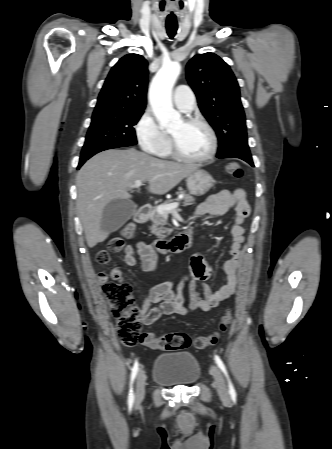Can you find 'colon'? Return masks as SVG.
Returning a JSON list of instances; mask_svg holds the SVG:
<instances>
[{
  "mask_svg": "<svg viewBox=\"0 0 332 449\" xmlns=\"http://www.w3.org/2000/svg\"><path fill=\"white\" fill-rule=\"evenodd\" d=\"M226 172L233 178H240L243 175V170L237 162H229L226 165ZM135 230L134 224H127L121 230L120 237L113 238L104 249L97 253L96 262L100 266H106L110 262L111 254L121 250L124 245V238H132ZM111 277L115 281L106 282V274L104 272L99 274L100 280L105 283L103 287L105 297L110 304L113 316L117 320L118 337L125 345L134 346L140 343L152 349L181 350L189 347L192 342L199 349L215 345L218 342L219 334L217 332L208 337L198 336L194 340L184 332L169 333L162 336L141 332L140 310L135 305L130 284L120 281L118 267L111 271ZM231 321V312H225L220 319L219 331H225Z\"/></svg>",
  "mask_w": 332,
  "mask_h": 449,
  "instance_id": "obj_1",
  "label": "colon"
}]
</instances>
